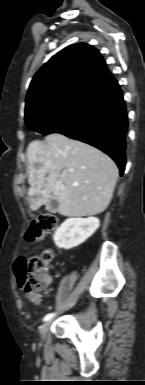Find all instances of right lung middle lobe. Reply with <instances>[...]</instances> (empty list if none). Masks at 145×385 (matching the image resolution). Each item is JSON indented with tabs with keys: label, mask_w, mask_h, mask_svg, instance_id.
I'll return each mask as SVG.
<instances>
[{
	"label": "right lung middle lobe",
	"mask_w": 145,
	"mask_h": 385,
	"mask_svg": "<svg viewBox=\"0 0 145 385\" xmlns=\"http://www.w3.org/2000/svg\"><path fill=\"white\" fill-rule=\"evenodd\" d=\"M97 94L87 89L66 91L25 114L26 125L44 135L53 133L85 108Z\"/></svg>",
	"instance_id": "1"
}]
</instances>
